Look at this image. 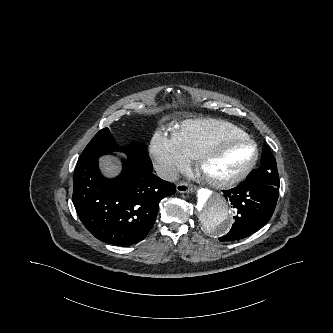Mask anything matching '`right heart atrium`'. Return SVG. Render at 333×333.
Listing matches in <instances>:
<instances>
[{
  "mask_svg": "<svg viewBox=\"0 0 333 333\" xmlns=\"http://www.w3.org/2000/svg\"><path fill=\"white\" fill-rule=\"evenodd\" d=\"M150 155L158 175L168 181L185 171L190 160L179 149L172 137L156 132L150 142Z\"/></svg>",
  "mask_w": 333,
  "mask_h": 333,
  "instance_id": "obj_1",
  "label": "right heart atrium"
}]
</instances>
